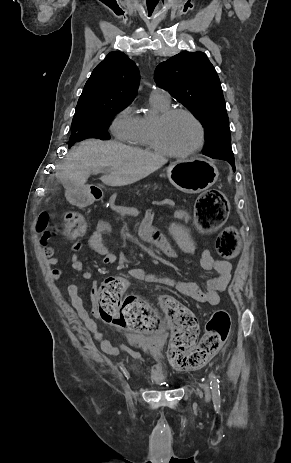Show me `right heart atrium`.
Here are the masks:
<instances>
[{
  "label": "right heart atrium",
  "instance_id": "right-heart-atrium-1",
  "mask_svg": "<svg viewBox=\"0 0 291 463\" xmlns=\"http://www.w3.org/2000/svg\"><path fill=\"white\" fill-rule=\"evenodd\" d=\"M110 128L116 139L132 143L137 130V119L132 107L128 106L117 113Z\"/></svg>",
  "mask_w": 291,
  "mask_h": 463
}]
</instances>
